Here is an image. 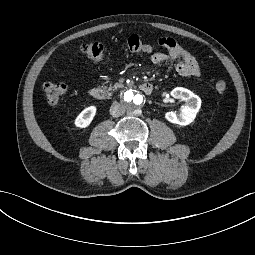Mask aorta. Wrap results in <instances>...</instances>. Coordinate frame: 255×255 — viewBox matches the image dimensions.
<instances>
[{
  "mask_svg": "<svg viewBox=\"0 0 255 255\" xmlns=\"http://www.w3.org/2000/svg\"><path fill=\"white\" fill-rule=\"evenodd\" d=\"M123 99L125 104L133 109L140 108L145 103L143 95L134 89H129L124 92Z\"/></svg>",
  "mask_w": 255,
  "mask_h": 255,
  "instance_id": "1",
  "label": "aorta"
}]
</instances>
